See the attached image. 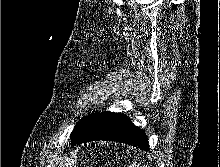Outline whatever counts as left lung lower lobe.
<instances>
[{
  "instance_id": "obj_1",
  "label": "left lung lower lobe",
  "mask_w": 220,
  "mask_h": 167,
  "mask_svg": "<svg viewBox=\"0 0 220 167\" xmlns=\"http://www.w3.org/2000/svg\"><path fill=\"white\" fill-rule=\"evenodd\" d=\"M95 140L125 143L145 151L149 149L143 130L135 127L127 116L109 111L100 113L85 134L72 144L80 145Z\"/></svg>"
}]
</instances>
